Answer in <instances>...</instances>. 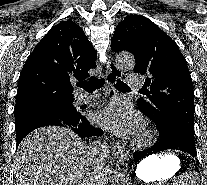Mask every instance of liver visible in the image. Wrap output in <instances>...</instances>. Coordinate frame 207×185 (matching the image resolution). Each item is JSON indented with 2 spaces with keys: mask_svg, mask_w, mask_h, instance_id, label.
<instances>
[{
  "mask_svg": "<svg viewBox=\"0 0 207 185\" xmlns=\"http://www.w3.org/2000/svg\"><path fill=\"white\" fill-rule=\"evenodd\" d=\"M95 157L71 129H35L15 153L13 185H95Z\"/></svg>",
  "mask_w": 207,
  "mask_h": 185,
  "instance_id": "1",
  "label": "liver"
}]
</instances>
